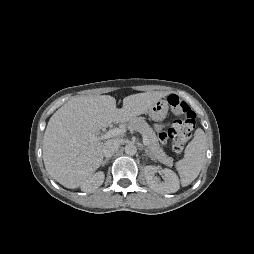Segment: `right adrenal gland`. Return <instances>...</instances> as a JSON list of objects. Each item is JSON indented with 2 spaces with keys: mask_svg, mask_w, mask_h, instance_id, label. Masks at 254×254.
I'll use <instances>...</instances> for the list:
<instances>
[{
  "mask_svg": "<svg viewBox=\"0 0 254 254\" xmlns=\"http://www.w3.org/2000/svg\"><path fill=\"white\" fill-rule=\"evenodd\" d=\"M108 161H109V158L105 159L104 161H102L101 165L104 166Z\"/></svg>",
  "mask_w": 254,
  "mask_h": 254,
  "instance_id": "obj_1",
  "label": "right adrenal gland"
}]
</instances>
